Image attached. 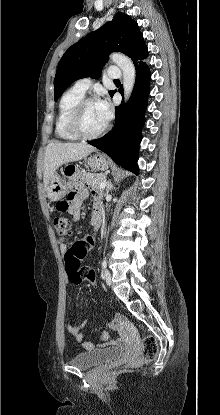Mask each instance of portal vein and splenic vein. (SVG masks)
Returning <instances> with one entry per match:
<instances>
[{
	"instance_id": "portal-vein-and-splenic-vein-1",
	"label": "portal vein and splenic vein",
	"mask_w": 220,
	"mask_h": 415,
	"mask_svg": "<svg viewBox=\"0 0 220 415\" xmlns=\"http://www.w3.org/2000/svg\"><path fill=\"white\" fill-rule=\"evenodd\" d=\"M106 184H107L106 180H105V181H103V182L100 184V188H101V189L105 188Z\"/></svg>"
}]
</instances>
